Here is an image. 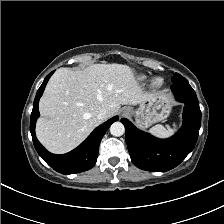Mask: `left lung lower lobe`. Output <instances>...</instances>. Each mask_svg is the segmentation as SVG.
Returning <instances> with one entry per match:
<instances>
[{
  "instance_id": "1",
  "label": "left lung lower lobe",
  "mask_w": 224,
  "mask_h": 224,
  "mask_svg": "<svg viewBox=\"0 0 224 224\" xmlns=\"http://www.w3.org/2000/svg\"><path fill=\"white\" fill-rule=\"evenodd\" d=\"M171 90L177 100L185 103L182 128L171 138H155L137 129L129 120L121 119L131 160L140 169L154 172L171 170L185 159L196 144L201 126L196 93L185 78L173 83Z\"/></svg>"
}]
</instances>
